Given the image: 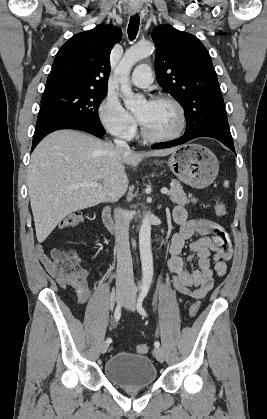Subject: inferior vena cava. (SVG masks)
<instances>
[{"label":"inferior vena cava","mask_w":267,"mask_h":419,"mask_svg":"<svg viewBox=\"0 0 267 419\" xmlns=\"http://www.w3.org/2000/svg\"><path fill=\"white\" fill-rule=\"evenodd\" d=\"M117 147L129 150L127 142L114 140ZM115 239L117 250L116 288L129 291L134 287L132 257L129 245V220L126 212L121 208L114 210Z\"/></svg>","instance_id":"inferior-vena-cava-1"}]
</instances>
